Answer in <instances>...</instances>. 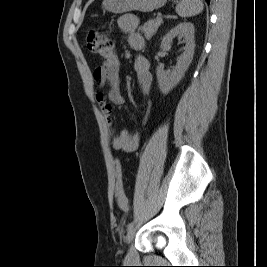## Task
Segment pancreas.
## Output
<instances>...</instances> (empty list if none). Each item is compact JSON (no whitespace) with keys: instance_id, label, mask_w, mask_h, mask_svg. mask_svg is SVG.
Here are the masks:
<instances>
[{"instance_id":"pancreas-1","label":"pancreas","mask_w":267,"mask_h":267,"mask_svg":"<svg viewBox=\"0 0 267 267\" xmlns=\"http://www.w3.org/2000/svg\"><path fill=\"white\" fill-rule=\"evenodd\" d=\"M162 24V20H149L142 27L141 31L144 33V36L147 40L151 39V37L157 32L159 26Z\"/></svg>"}]
</instances>
